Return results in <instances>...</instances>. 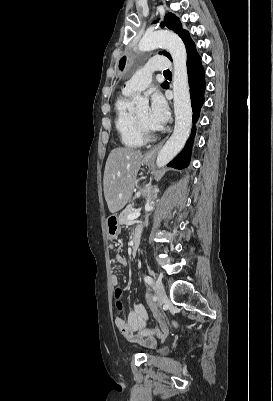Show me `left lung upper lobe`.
Instances as JSON below:
<instances>
[{
    "label": "left lung upper lobe",
    "mask_w": 273,
    "mask_h": 401,
    "mask_svg": "<svg viewBox=\"0 0 273 401\" xmlns=\"http://www.w3.org/2000/svg\"><path fill=\"white\" fill-rule=\"evenodd\" d=\"M154 23H157V21H155ZM167 27L170 30H173L174 32H176L183 40L186 48L193 43V41L191 40L188 31L182 29V25L180 23V20L178 17H176L174 14L172 13H168L165 17H164V21L161 23V27ZM160 54H163L165 56H167L169 59H171V56L168 52H160ZM125 60L126 58L123 57L120 60V64H119V68L121 70H123L124 65H125ZM166 83L162 84V87L165 86Z\"/></svg>",
    "instance_id": "left-lung-upper-lobe-1"
}]
</instances>
